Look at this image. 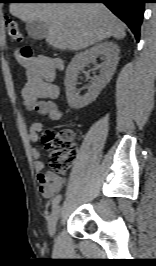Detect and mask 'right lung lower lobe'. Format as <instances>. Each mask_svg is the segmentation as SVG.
<instances>
[{
	"mask_svg": "<svg viewBox=\"0 0 156 266\" xmlns=\"http://www.w3.org/2000/svg\"><path fill=\"white\" fill-rule=\"evenodd\" d=\"M56 3H104L115 15L124 21L136 37L140 36L146 0H48Z\"/></svg>",
	"mask_w": 156,
	"mask_h": 266,
	"instance_id": "right-lung-lower-lobe-1",
	"label": "right lung lower lobe"
}]
</instances>
